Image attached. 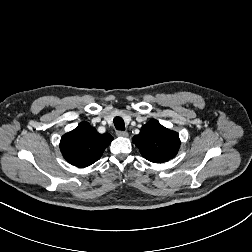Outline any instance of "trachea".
<instances>
[{
  "mask_svg": "<svg viewBox=\"0 0 252 252\" xmlns=\"http://www.w3.org/2000/svg\"><path fill=\"white\" fill-rule=\"evenodd\" d=\"M113 122L117 130H120V131L125 130L124 120L121 117H115Z\"/></svg>",
  "mask_w": 252,
  "mask_h": 252,
  "instance_id": "3493384b",
  "label": "trachea"
}]
</instances>
